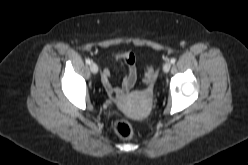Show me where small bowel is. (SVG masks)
<instances>
[{
	"label": "small bowel",
	"instance_id": "obj_1",
	"mask_svg": "<svg viewBox=\"0 0 248 165\" xmlns=\"http://www.w3.org/2000/svg\"><path fill=\"white\" fill-rule=\"evenodd\" d=\"M115 62L123 63L127 66V74L123 78L119 86H114L111 83V72L108 68L102 71V82L110 94L117 98H122L128 91H130L137 82V58L132 52L116 53L113 56Z\"/></svg>",
	"mask_w": 248,
	"mask_h": 165
}]
</instances>
